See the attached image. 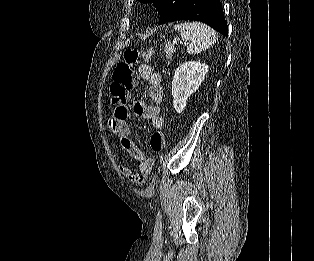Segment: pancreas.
Segmentation results:
<instances>
[{
	"label": "pancreas",
	"instance_id": "1",
	"mask_svg": "<svg viewBox=\"0 0 314 261\" xmlns=\"http://www.w3.org/2000/svg\"><path fill=\"white\" fill-rule=\"evenodd\" d=\"M175 51H176V49H175L173 44H171L170 42H167L165 44L164 52L166 54V58H167L168 61L171 60L172 53L175 52Z\"/></svg>",
	"mask_w": 314,
	"mask_h": 261
}]
</instances>
